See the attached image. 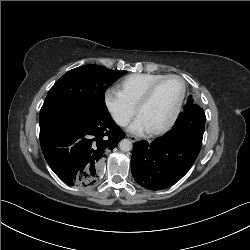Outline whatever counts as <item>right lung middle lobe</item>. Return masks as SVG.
<instances>
[{
	"mask_svg": "<svg viewBox=\"0 0 250 250\" xmlns=\"http://www.w3.org/2000/svg\"><path fill=\"white\" fill-rule=\"evenodd\" d=\"M125 73L96 65L68 71L49 90L40 111V120L67 110L108 111L105 91Z\"/></svg>",
	"mask_w": 250,
	"mask_h": 250,
	"instance_id": "dd1d6c3e",
	"label": "right lung middle lobe"
}]
</instances>
